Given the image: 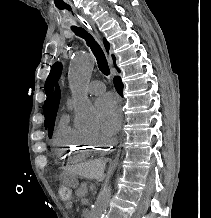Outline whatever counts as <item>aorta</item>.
I'll return each instance as SVG.
<instances>
[{
  "label": "aorta",
  "instance_id": "obj_1",
  "mask_svg": "<svg viewBox=\"0 0 211 218\" xmlns=\"http://www.w3.org/2000/svg\"><path fill=\"white\" fill-rule=\"evenodd\" d=\"M93 68L94 58L89 54H84L74 57L69 69V84L76 97V126L83 131H94L99 126L97 113L85 91V87L90 81ZM111 193V185L105 187L100 192L91 208L90 218H103L109 204Z\"/></svg>",
  "mask_w": 211,
  "mask_h": 218
}]
</instances>
